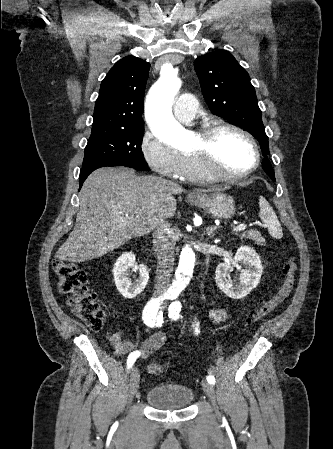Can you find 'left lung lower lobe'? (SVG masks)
Segmentation results:
<instances>
[{
	"mask_svg": "<svg viewBox=\"0 0 333 449\" xmlns=\"http://www.w3.org/2000/svg\"><path fill=\"white\" fill-rule=\"evenodd\" d=\"M262 166L265 168V169H269L270 168V166H271V164L269 163V160H263V162H262ZM275 181V180H274Z\"/></svg>",
	"mask_w": 333,
	"mask_h": 449,
	"instance_id": "obj_1",
	"label": "left lung lower lobe"
}]
</instances>
